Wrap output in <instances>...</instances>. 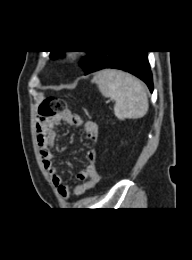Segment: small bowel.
<instances>
[{"label":"small bowel","mask_w":192,"mask_h":260,"mask_svg":"<svg viewBox=\"0 0 192 260\" xmlns=\"http://www.w3.org/2000/svg\"><path fill=\"white\" fill-rule=\"evenodd\" d=\"M61 121H65L74 126H82L84 132L92 141L97 140L99 131L95 122H84L78 114L72 113L69 110L64 116L55 117L49 120L40 119L37 123V141L40 148L43 165L59 194L64 199H69L71 189L77 196H82L88 190L93 189L99 182V173L96 167V151L94 149H90L86 152L85 169L79 171L76 176L80 183L70 186L63 181L56 166L54 165V160L57 155L53 151L56 138V126Z\"/></svg>","instance_id":"c3829d8e"}]
</instances>
